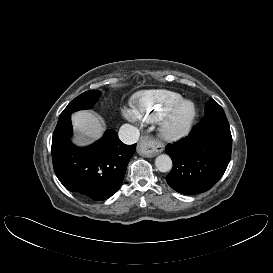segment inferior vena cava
I'll return each instance as SVG.
<instances>
[{"instance_id": "1", "label": "inferior vena cava", "mask_w": 273, "mask_h": 273, "mask_svg": "<svg viewBox=\"0 0 273 273\" xmlns=\"http://www.w3.org/2000/svg\"><path fill=\"white\" fill-rule=\"evenodd\" d=\"M139 130L130 125V124H124L119 129V138L120 140L125 144H134L139 139Z\"/></svg>"}]
</instances>
